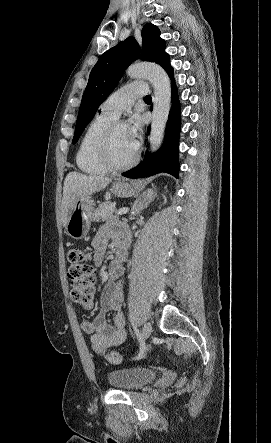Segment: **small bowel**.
I'll use <instances>...</instances> for the list:
<instances>
[{
  "label": "small bowel",
  "instance_id": "small-bowel-1",
  "mask_svg": "<svg viewBox=\"0 0 271 443\" xmlns=\"http://www.w3.org/2000/svg\"><path fill=\"white\" fill-rule=\"evenodd\" d=\"M108 242V233L99 232L93 240V260L100 265L104 259ZM122 254L112 262L109 269V282L101 297L100 311L93 321L83 320L82 330L89 335V343L93 350L103 353L107 349L122 344L126 338V321L122 310L123 289L117 282L122 274ZM112 312L113 322L107 321L108 313Z\"/></svg>",
  "mask_w": 271,
  "mask_h": 443
}]
</instances>
